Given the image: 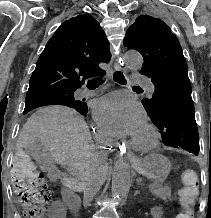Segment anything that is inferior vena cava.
I'll return each instance as SVG.
<instances>
[{
	"mask_svg": "<svg viewBox=\"0 0 211 218\" xmlns=\"http://www.w3.org/2000/svg\"><path fill=\"white\" fill-rule=\"evenodd\" d=\"M100 158H106V154H101L98 152ZM102 184H104V178L100 172H87L84 174L82 182H79V186L83 188L84 192V202L85 204H90L97 192H99Z\"/></svg>",
	"mask_w": 211,
	"mask_h": 218,
	"instance_id": "1",
	"label": "inferior vena cava"
}]
</instances>
